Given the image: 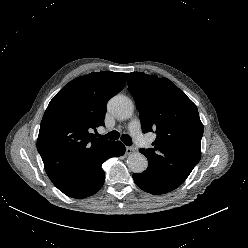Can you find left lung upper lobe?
Wrapping results in <instances>:
<instances>
[{"mask_svg":"<svg viewBox=\"0 0 248 248\" xmlns=\"http://www.w3.org/2000/svg\"><path fill=\"white\" fill-rule=\"evenodd\" d=\"M128 86L143 132L157 134L153 148L140 149L148 167L181 185L201 158L204 126L196 105L167 78L132 72Z\"/></svg>","mask_w":248,"mask_h":248,"instance_id":"obj_1","label":"left lung upper lobe"}]
</instances>
